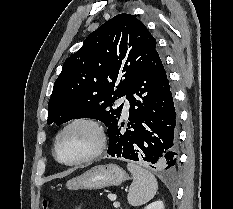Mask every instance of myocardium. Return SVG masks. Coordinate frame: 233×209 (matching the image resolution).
I'll return each mask as SVG.
<instances>
[{
    "mask_svg": "<svg viewBox=\"0 0 233 209\" xmlns=\"http://www.w3.org/2000/svg\"><path fill=\"white\" fill-rule=\"evenodd\" d=\"M76 125H86L89 126L90 128H92L96 134V138H97V142H96V146L95 148L87 155L68 162V161H64L59 157L58 154V146H59V142L60 139L62 137V135L71 127L76 126ZM106 144H107V136H106V132L105 129L103 127V125L95 118L92 117H87V116H82V117H77L72 119L71 121H69L68 123H66L61 130L58 132L56 138H55V142H54V157L55 159L66 166H77V165H81L83 163L89 162L95 158H97L98 156H100L103 151L106 148Z\"/></svg>",
    "mask_w": 233,
    "mask_h": 209,
    "instance_id": "1",
    "label": "myocardium"
}]
</instances>
